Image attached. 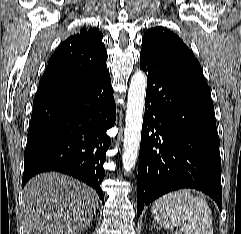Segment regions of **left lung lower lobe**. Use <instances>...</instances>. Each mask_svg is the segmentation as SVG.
Instances as JSON below:
<instances>
[{
    "mask_svg": "<svg viewBox=\"0 0 241 234\" xmlns=\"http://www.w3.org/2000/svg\"><path fill=\"white\" fill-rule=\"evenodd\" d=\"M147 72L137 177V215L165 193L194 188L222 208L221 159L207 84L140 54Z\"/></svg>",
    "mask_w": 241,
    "mask_h": 234,
    "instance_id": "left-lung-lower-lobe-1",
    "label": "left lung lower lobe"
}]
</instances>
